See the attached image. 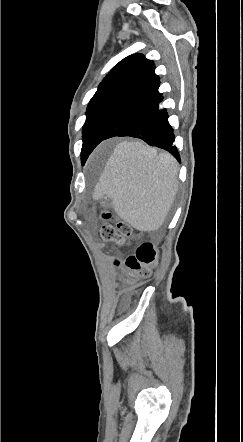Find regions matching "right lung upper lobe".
Masks as SVG:
<instances>
[{
  "mask_svg": "<svg viewBox=\"0 0 243 442\" xmlns=\"http://www.w3.org/2000/svg\"><path fill=\"white\" fill-rule=\"evenodd\" d=\"M158 78L152 60L142 54H132L106 75L92 99L107 95L126 96Z\"/></svg>",
  "mask_w": 243,
  "mask_h": 442,
  "instance_id": "1",
  "label": "right lung upper lobe"
}]
</instances>
